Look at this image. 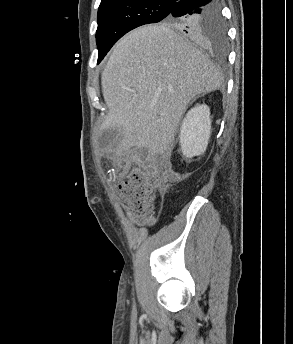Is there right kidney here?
<instances>
[{
  "mask_svg": "<svg viewBox=\"0 0 293 344\" xmlns=\"http://www.w3.org/2000/svg\"><path fill=\"white\" fill-rule=\"evenodd\" d=\"M211 134L210 109L207 105H196L183 119L180 128V146L186 158L202 155Z\"/></svg>",
  "mask_w": 293,
  "mask_h": 344,
  "instance_id": "obj_1",
  "label": "right kidney"
}]
</instances>
